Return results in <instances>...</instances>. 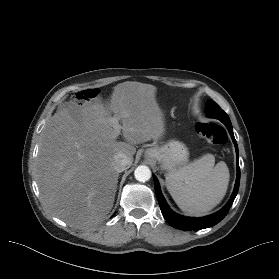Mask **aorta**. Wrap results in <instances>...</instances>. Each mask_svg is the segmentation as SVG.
Wrapping results in <instances>:
<instances>
[{
    "label": "aorta",
    "instance_id": "aorta-1",
    "mask_svg": "<svg viewBox=\"0 0 279 279\" xmlns=\"http://www.w3.org/2000/svg\"><path fill=\"white\" fill-rule=\"evenodd\" d=\"M134 176L139 182H146L151 178V171L145 165L138 166L134 171Z\"/></svg>",
    "mask_w": 279,
    "mask_h": 279
}]
</instances>
